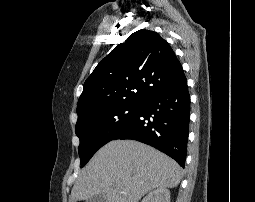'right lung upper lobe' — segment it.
Segmentation results:
<instances>
[{"instance_id": "right-lung-upper-lobe-1", "label": "right lung upper lobe", "mask_w": 255, "mask_h": 202, "mask_svg": "<svg viewBox=\"0 0 255 202\" xmlns=\"http://www.w3.org/2000/svg\"><path fill=\"white\" fill-rule=\"evenodd\" d=\"M186 81L170 45L154 31L141 29L113 49L84 83L78 119L117 104H141L150 96Z\"/></svg>"}]
</instances>
